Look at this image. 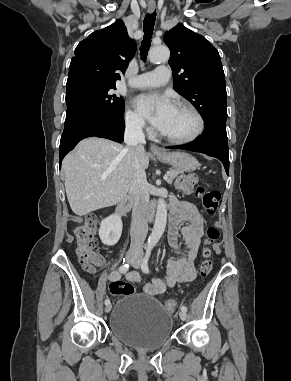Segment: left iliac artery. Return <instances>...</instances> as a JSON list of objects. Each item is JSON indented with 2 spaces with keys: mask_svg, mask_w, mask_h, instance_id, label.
Segmentation results:
<instances>
[{
  "mask_svg": "<svg viewBox=\"0 0 291 381\" xmlns=\"http://www.w3.org/2000/svg\"><path fill=\"white\" fill-rule=\"evenodd\" d=\"M150 255H151V251H147L146 252V255L144 257V259L142 260V263H141V269L144 273H149V266H148V261H149V258H150ZM181 310L184 311V312H187V307L186 306H181Z\"/></svg>",
  "mask_w": 291,
  "mask_h": 381,
  "instance_id": "44dca946",
  "label": "left iliac artery"
}]
</instances>
